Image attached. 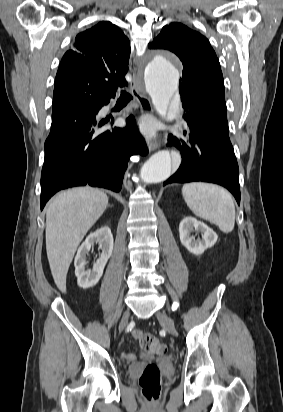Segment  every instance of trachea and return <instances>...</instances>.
I'll return each mask as SVG.
<instances>
[{"label":"trachea","mask_w":283,"mask_h":412,"mask_svg":"<svg viewBox=\"0 0 283 412\" xmlns=\"http://www.w3.org/2000/svg\"><path fill=\"white\" fill-rule=\"evenodd\" d=\"M131 99H132V96L129 93H127L126 91H121L119 101L129 102Z\"/></svg>","instance_id":"obj_1"}]
</instances>
